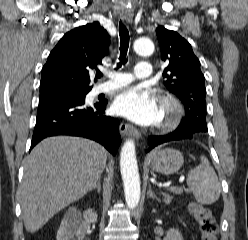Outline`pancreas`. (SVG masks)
I'll list each match as a JSON object with an SVG mask.
<instances>
[{
    "label": "pancreas",
    "mask_w": 248,
    "mask_h": 240,
    "mask_svg": "<svg viewBox=\"0 0 248 240\" xmlns=\"http://www.w3.org/2000/svg\"><path fill=\"white\" fill-rule=\"evenodd\" d=\"M171 191H172V190H171ZM174 192H175V191H174ZM175 193H177V192H175ZM164 196H165V197H164L165 203L169 204V203L171 202L172 197H170V196L167 195V194H165Z\"/></svg>",
    "instance_id": "1"
}]
</instances>
